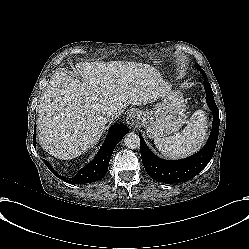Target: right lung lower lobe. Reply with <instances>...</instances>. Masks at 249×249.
<instances>
[{
	"mask_svg": "<svg viewBox=\"0 0 249 249\" xmlns=\"http://www.w3.org/2000/svg\"><path fill=\"white\" fill-rule=\"evenodd\" d=\"M36 129V128H35ZM34 129V146L36 143V131ZM129 132V128L122 124L113 125L108 132L106 140L98 152L96 158L84 168L80 170V172L70 178L69 180H65L67 182L73 184H85L91 183L100 180L108 171V164L113 153V150L117 143H119L122 138ZM46 166L58 176L56 172L52 169L48 162H45ZM59 177V176H58ZM64 179L63 177H60Z\"/></svg>",
	"mask_w": 249,
	"mask_h": 249,
	"instance_id": "98d812e1",
	"label": "right lung lower lobe"
}]
</instances>
